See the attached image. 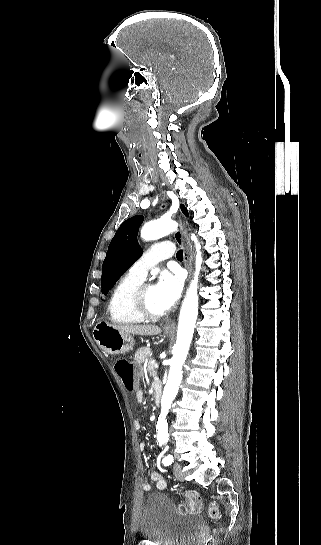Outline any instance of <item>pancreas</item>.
<instances>
[{
    "instance_id": "obj_1",
    "label": "pancreas",
    "mask_w": 321,
    "mask_h": 545,
    "mask_svg": "<svg viewBox=\"0 0 321 545\" xmlns=\"http://www.w3.org/2000/svg\"><path fill=\"white\" fill-rule=\"evenodd\" d=\"M147 369H148L149 377H157V371H156L155 365H154V363H152V361H149V363L147 365Z\"/></svg>"
}]
</instances>
